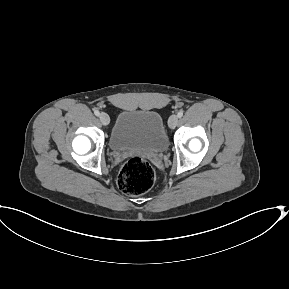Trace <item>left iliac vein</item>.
I'll return each mask as SVG.
<instances>
[{
    "instance_id": "1",
    "label": "left iliac vein",
    "mask_w": 289,
    "mask_h": 289,
    "mask_svg": "<svg viewBox=\"0 0 289 289\" xmlns=\"http://www.w3.org/2000/svg\"><path fill=\"white\" fill-rule=\"evenodd\" d=\"M177 124H178V116L175 115V114L171 115L169 117V120H168L169 127L173 129V128H175L177 126Z\"/></svg>"
}]
</instances>
